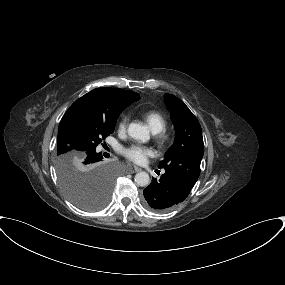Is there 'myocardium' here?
<instances>
[{"label":"myocardium","instance_id":"1","mask_svg":"<svg viewBox=\"0 0 285 285\" xmlns=\"http://www.w3.org/2000/svg\"><path fill=\"white\" fill-rule=\"evenodd\" d=\"M160 142L165 143L168 140V136L165 133H161L159 136Z\"/></svg>","mask_w":285,"mask_h":285}]
</instances>
